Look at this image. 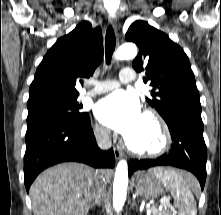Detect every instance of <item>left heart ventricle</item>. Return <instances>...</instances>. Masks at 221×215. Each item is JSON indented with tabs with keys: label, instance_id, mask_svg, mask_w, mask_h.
Segmentation results:
<instances>
[{
	"label": "left heart ventricle",
	"instance_id": "1",
	"mask_svg": "<svg viewBox=\"0 0 221 215\" xmlns=\"http://www.w3.org/2000/svg\"><path fill=\"white\" fill-rule=\"evenodd\" d=\"M127 139L138 148L151 149L158 144L159 134L154 124L143 117L137 130Z\"/></svg>",
	"mask_w": 221,
	"mask_h": 215
}]
</instances>
